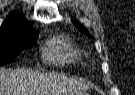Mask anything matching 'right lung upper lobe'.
Masks as SVG:
<instances>
[{
    "instance_id": "obj_1",
    "label": "right lung upper lobe",
    "mask_w": 135,
    "mask_h": 95,
    "mask_svg": "<svg viewBox=\"0 0 135 95\" xmlns=\"http://www.w3.org/2000/svg\"><path fill=\"white\" fill-rule=\"evenodd\" d=\"M15 32L36 33L30 26V23L19 14L10 13L0 27V36Z\"/></svg>"
}]
</instances>
